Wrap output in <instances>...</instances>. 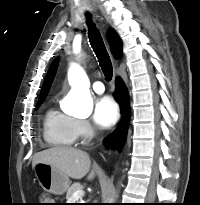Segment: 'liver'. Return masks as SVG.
Wrapping results in <instances>:
<instances>
[{
    "label": "liver",
    "mask_w": 200,
    "mask_h": 205,
    "mask_svg": "<svg viewBox=\"0 0 200 205\" xmlns=\"http://www.w3.org/2000/svg\"><path fill=\"white\" fill-rule=\"evenodd\" d=\"M38 163L49 164L73 179H81L89 173L91 161L89 155L79 149L69 147H53L33 156L32 168ZM96 171L92 169L87 179L92 180Z\"/></svg>",
    "instance_id": "6515ba94"
}]
</instances>
